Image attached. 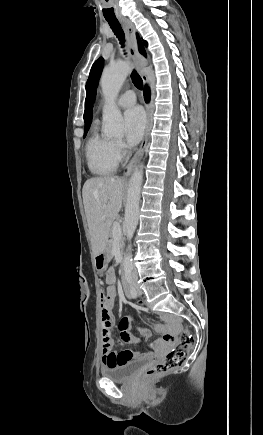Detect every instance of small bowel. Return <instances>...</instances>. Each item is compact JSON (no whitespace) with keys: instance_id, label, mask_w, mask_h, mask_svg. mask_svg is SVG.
Returning a JSON list of instances; mask_svg holds the SVG:
<instances>
[{"instance_id":"1","label":"small bowel","mask_w":263,"mask_h":435,"mask_svg":"<svg viewBox=\"0 0 263 435\" xmlns=\"http://www.w3.org/2000/svg\"><path fill=\"white\" fill-rule=\"evenodd\" d=\"M116 280V273L113 269L108 270L106 275V282L108 284L106 295L104 300L101 302V320H102V336L103 331L106 328H109L112 331V328L115 324L114 317V304L117 297V291L114 287V283ZM133 320L132 316L123 317L118 323L119 330V340L121 343H139L140 339L137 338L131 331L130 325ZM164 320L172 325H178V321L174 317H164ZM162 325H158L157 329L162 330ZM141 335L148 339L150 337V332L148 330L142 331ZM103 342V339H102ZM176 343L175 336H160L159 340L156 341L152 347L154 352L146 351V350H132L126 349L123 351H115L113 350H103L102 349V362L105 366H118L122 365L137 359H143L146 357H152L156 354L162 353L165 348L170 350L173 345Z\"/></svg>"}]
</instances>
